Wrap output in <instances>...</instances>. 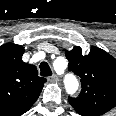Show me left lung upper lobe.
<instances>
[{
    "label": "left lung upper lobe",
    "instance_id": "1",
    "mask_svg": "<svg viewBox=\"0 0 116 116\" xmlns=\"http://www.w3.org/2000/svg\"><path fill=\"white\" fill-rule=\"evenodd\" d=\"M68 68L81 78L82 89L69 103L80 115L104 114L116 106V59L98 47L85 55L79 46L65 51Z\"/></svg>",
    "mask_w": 116,
    "mask_h": 116
}]
</instances>
